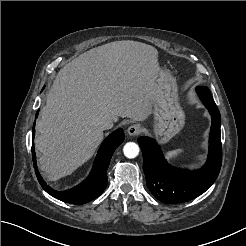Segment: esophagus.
Segmentation results:
<instances>
[{
    "label": "esophagus",
    "instance_id": "esophagus-1",
    "mask_svg": "<svg viewBox=\"0 0 246 246\" xmlns=\"http://www.w3.org/2000/svg\"><path fill=\"white\" fill-rule=\"evenodd\" d=\"M142 128L139 124L130 125L127 129V133L130 136H136L141 132Z\"/></svg>",
    "mask_w": 246,
    "mask_h": 246
}]
</instances>
